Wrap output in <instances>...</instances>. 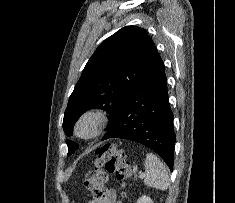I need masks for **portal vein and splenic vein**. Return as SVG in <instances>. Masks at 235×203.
<instances>
[{
  "mask_svg": "<svg viewBox=\"0 0 235 203\" xmlns=\"http://www.w3.org/2000/svg\"><path fill=\"white\" fill-rule=\"evenodd\" d=\"M140 176H141V177H144L145 175L142 173Z\"/></svg>",
  "mask_w": 235,
  "mask_h": 203,
  "instance_id": "18ae733b",
  "label": "portal vein and splenic vein"
}]
</instances>
